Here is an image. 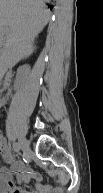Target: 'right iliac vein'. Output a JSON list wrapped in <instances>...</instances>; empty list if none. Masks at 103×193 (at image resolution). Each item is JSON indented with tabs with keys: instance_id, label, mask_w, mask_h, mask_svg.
Listing matches in <instances>:
<instances>
[{
	"instance_id": "obj_1",
	"label": "right iliac vein",
	"mask_w": 103,
	"mask_h": 193,
	"mask_svg": "<svg viewBox=\"0 0 103 193\" xmlns=\"http://www.w3.org/2000/svg\"><path fill=\"white\" fill-rule=\"evenodd\" d=\"M19 143H20V147H21V150L23 151V153L27 154L29 151V144H28L27 140L24 138H21Z\"/></svg>"
}]
</instances>
